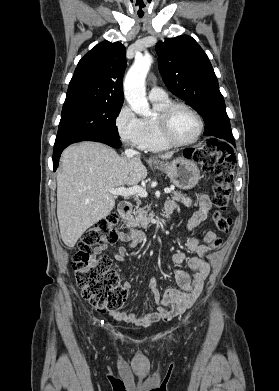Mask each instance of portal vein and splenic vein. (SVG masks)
<instances>
[{
  "label": "portal vein and splenic vein",
  "instance_id": "1",
  "mask_svg": "<svg viewBox=\"0 0 279 391\" xmlns=\"http://www.w3.org/2000/svg\"><path fill=\"white\" fill-rule=\"evenodd\" d=\"M109 193H111L112 195H121V196H124V197H128V196H131V195H139L140 197H147V191L142 188L141 186H138V185H135V186H132V187H129V188H125L124 186H121L119 188H111V189H108ZM164 192L166 194H170L171 193V189L169 188H165L164 189Z\"/></svg>",
  "mask_w": 279,
  "mask_h": 391
}]
</instances>
